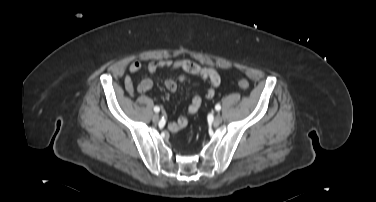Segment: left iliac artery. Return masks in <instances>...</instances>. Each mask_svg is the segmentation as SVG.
I'll return each instance as SVG.
<instances>
[{
  "label": "left iliac artery",
  "mask_w": 376,
  "mask_h": 202,
  "mask_svg": "<svg viewBox=\"0 0 376 202\" xmlns=\"http://www.w3.org/2000/svg\"><path fill=\"white\" fill-rule=\"evenodd\" d=\"M215 109H216L217 111H219V110L221 109L220 104H217V105L215 106Z\"/></svg>",
  "instance_id": "44dca946"
}]
</instances>
